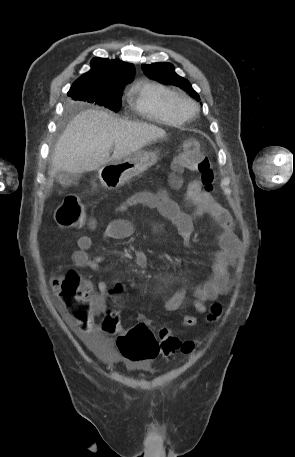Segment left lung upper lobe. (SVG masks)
<instances>
[{
  "label": "left lung upper lobe",
  "instance_id": "5c2ea615",
  "mask_svg": "<svg viewBox=\"0 0 295 457\" xmlns=\"http://www.w3.org/2000/svg\"><path fill=\"white\" fill-rule=\"evenodd\" d=\"M142 70L147 77L178 86L194 98L199 99V95L194 91L189 81L177 75L174 71V66L171 63L143 64Z\"/></svg>",
  "mask_w": 295,
  "mask_h": 457
}]
</instances>
